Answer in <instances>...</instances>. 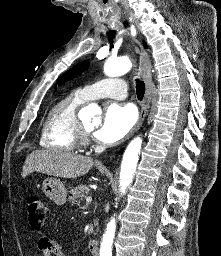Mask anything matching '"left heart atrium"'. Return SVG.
I'll list each match as a JSON object with an SVG mask.
<instances>
[{
    "label": "left heart atrium",
    "mask_w": 221,
    "mask_h": 256,
    "mask_svg": "<svg viewBox=\"0 0 221 256\" xmlns=\"http://www.w3.org/2000/svg\"><path fill=\"white\" fill-rule=\"evenodd\" d=\"M136 122V111L130 105L111 103L101 126L95 131L97 140L111 144L123 138Z\"/></svg>",
    "instance_id": "39dd6f15"
}]
</instances>
